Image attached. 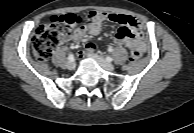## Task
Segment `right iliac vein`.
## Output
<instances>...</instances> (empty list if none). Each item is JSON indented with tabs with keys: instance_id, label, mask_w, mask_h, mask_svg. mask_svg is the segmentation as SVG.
<instances>
[{
	"instance_id": "63e3f726",
	"label": "right iliac vein",
	"mask_w": 194,
	"mask_h": 133,
	"mask_svg": "<svg viewBox=\"0 0 194 133\" xmlns=\"http://www.w3.org/2000/svg\"><path fill=\"white\" fill-rule=\"evenodd\" d=\"M66 67L69 70H73L75 68V62L74 61L67 62Z\"/></svg>"
}]
</instances>
